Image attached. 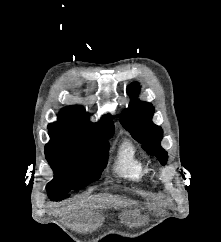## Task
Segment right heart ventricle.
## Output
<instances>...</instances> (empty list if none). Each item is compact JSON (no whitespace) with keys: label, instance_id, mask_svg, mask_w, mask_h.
<instances>
[{"label":"right heart ventricle","instance_id":"obj_1","mask_svg":"<svg viewBox=\"0 0 221 242\" xmlns=\"http://www.w3.org/2000/svg\"><path fill=\"white\" fill-rule=\"evenodd\" d=\"M113 174L127 181L143 184L148 176V165L137 146L130 140H123L118 148Z\"/></svg>","mask_w":221,"mask_h":242}]
</instances>
